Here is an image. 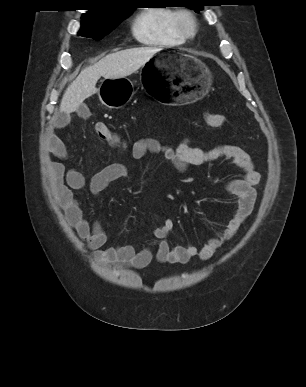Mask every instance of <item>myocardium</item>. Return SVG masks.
Instances as JSON below:
<instances>
[{"label":"myocardium","mask_w":306,"mask_h":387,"mask_svg":"<svg viewBox=\"0 0 306 387\" xmlns=\"http://www.w3.org/2000/svg\"><path fill=\"white\" fill-rule=\"evenodd\" d=\"M175 25L180 34L185 38H193L197 34V17L192 11L188 9H182L177 11L175 17Z\"/></svg>","instance_id":"myocardium-1"}]
</instances>
